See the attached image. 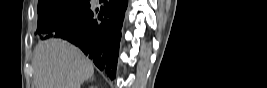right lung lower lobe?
Listing matches in <instances>:
<instances>
[{"instance_id": "1", "label": "right lung lower lobe", "mask_w": 267, "mask_h": 88, "mask_svg": "<svg viewBox=\"0 0 267 88\" xmlns=\"http://www.w3.org/2000/svg\"><path fill=\"white\" fill-rule=\"evenodd\" d=\"M101 2L100 10L89 5L73 19L59 24L51 36L78 46L100 70L114 79L128 0Z\"/></svg>"}]
</instances>
